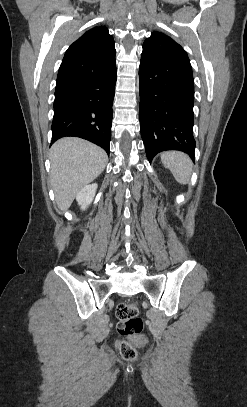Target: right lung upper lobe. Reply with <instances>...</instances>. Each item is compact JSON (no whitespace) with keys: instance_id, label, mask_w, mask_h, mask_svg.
I'll list each match as a JSON object with an SVG mask.
<instances>
[{"instance_id":"cb5924a9","label":"right lung upper lobe","mask_w":247,"mask_h":407,"mask_svg":"<svg viewBox=\"0 0 247 407\" xmlns=\"http://www.w3.org/2000/svg\"><path fill=\"white\" fill-rule=\"evenodd\" d=\"M107 27L98 26L83 34L66 51L56 88L73 84L94 68L115 59V45Z\"/></svg>"}]
</instances>
